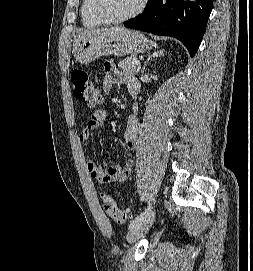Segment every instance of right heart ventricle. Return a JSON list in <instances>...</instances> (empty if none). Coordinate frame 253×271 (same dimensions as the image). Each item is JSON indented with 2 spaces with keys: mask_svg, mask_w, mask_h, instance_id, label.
Here are the masks:
<instances>
[{
  "mask_svg": "<svg viewBox=\"0 0 253 271\" xmlns=\"http://www.w3.org/2000/svg\"><path fill=\"white\" fill-rule=\"evenodd\" d=\"M93 4L94 0H82L81 2L80 7L81 21L83 26L88 29H95L105 24L96 16Z\"/></svg>",
  "mask_w": 253,
  "mask_h": 271,
  "instance_id": "right-heart-ventricle-1",
  "label": "right heart ventricle"
}]
</instances>
